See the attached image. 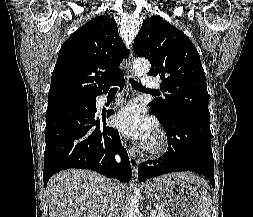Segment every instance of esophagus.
<instances>
[{
  "label": "esophagus",
  "instance_id": "1",
  "mask_svg": "<svg viewBox=\"0 0 253 217\" xmlns=\"http://www.w3.org/2000/svg\"><path fill=\"white\" fill-rule=\"evenodd\" d=\"M132 62H133V52L131 51L128 62H127V78L133 79L135 78L134 72L132 70ZM130 165L133 171V174L136 175L139 166V159L137 158V151L135 148L130 147L128 150Z\"/></svg>",
  "mask_w": 253,
  "mask_h": 217
}]
</instances>
